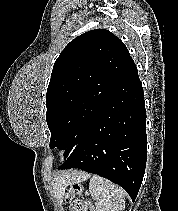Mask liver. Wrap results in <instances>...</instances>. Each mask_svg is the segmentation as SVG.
Segmentation results:
<instances>
[{
  "label": "liver",
  "instance_id": "liver-1",
  "mask_svg": "<svg viewBox=\"0 0 178 211\" xmlns=\"http://www.w3.org/2000/svg\"><path fill=\"white\" fill-rule=\"evenodd\" d=\"M82 178V174L77 171H65L61 172L58 176L53 178L52 186L55 195L59 200L64 196L65 188L79 181Z\"/></svg>",
  "mask_w": 178,
  "mask_h": 211
}]
</instances>
